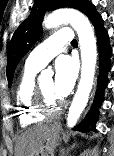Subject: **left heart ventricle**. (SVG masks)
<instances>
[{
    "mask_svg": "<svg viewBox=\"0 0 114 156\" xmlns=\"http://www.w3.org/2000/svg\"><path fill=\"white\" fill-rule=\"evenodd\" d=\"M40 86L49 98H51L53 101H59V99L53 93V80L52 79L42 81L40 83Z\"/></svg>",
    "mask_w": 114,
    "mask_h": 156,
    "instance_id": "obj_1",
    "label": "left heart ventricle"
}]
</instances>
